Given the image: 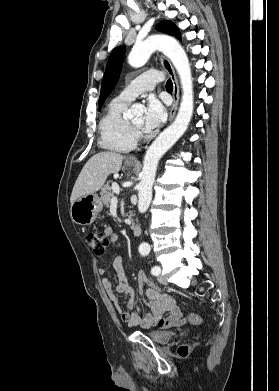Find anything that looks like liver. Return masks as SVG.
Instances as JSON below:
<instances>
[{
  "mask_svg": "<svg viewBox=\"0 0 279 391\" xmlns=\"http://www.w3.org/2000/svg\"><path fill=\"white\" fill-rule=\"evenodd\" d=\"M124 156L114 152H100L92 156L81 170L70 197L71 204L80 197L99 191L110 174L118 173Z\"/></svg>",
  "mask_w": 279,
  "mask_h": 391,
  "instance_id": "6515ba94",
  "label": "liver"
}]
</instances>
